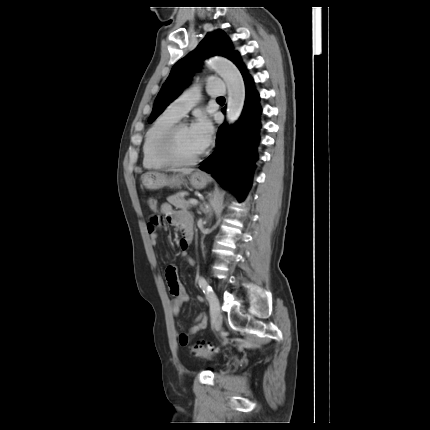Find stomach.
<instances>
[{"mask_svg":"<svg viewBox=\"0 0 430 430\" xmlns=\"http://www.w3.org/2000/svg\"><path fill=\"white\" fill-rule=\"evenodd\" d=\"M207 181L208 177L200 171L194 172L189 178L190 184L196 189L204 188ZM182 183L183 179L181 175L168 177L164 173L153 171L145 173L142 176V184L148 190H156L167 185L180 186Z\"/></svg>","mask_w":430,"mask_h":430,"instance_id":"1","label":"stomach"}]
</instances>
